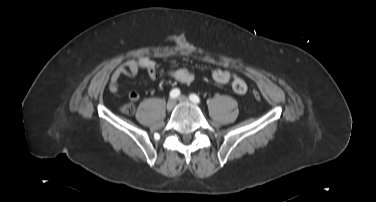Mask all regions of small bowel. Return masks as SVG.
Segmentation results:
<instances>
[{"instance_id": "obj_1", "label": "small bowel", "mask_w": 376, "mask_h": 202, "mask_svg": "<svg viewBox=\"0 0 376 202\" xmlns=\"http://www.w3.org/2000/svg\"><path fill=\"white\" fill-rule=\"evenodd\" d=\"M141 70L146 71L152 79H156L158 76L162 75L183 84H189L195 78L194 73L185 67H172L162 71L151 58L141 56L123 62L113 71L108 85L109 91L111 93L118 92L120 79L122 77L135 76ZM211 78L219 84H227L233 81L232 89L238 95H243L247 92V84L243 79L239 78L235 72L217 68L211 72ZM128 99L131 102H136L139 99V94L136 91H131L128 94Z\"/></svg>"}]
</instances>
